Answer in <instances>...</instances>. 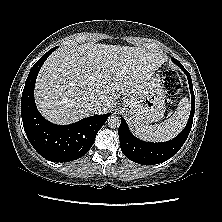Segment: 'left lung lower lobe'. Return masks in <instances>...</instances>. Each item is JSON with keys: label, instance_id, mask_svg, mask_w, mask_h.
I'll list each match as a JSON object with an SVG mask.
<instances>
[{"label": "left lung lower lobe", "instance_id": "obj_1", "mask_svg": "<svg viewBox=\"0 0 222 222\" xmlns=\"http://www.w3.org/2000/svg\"><path fill=\"white\" fill-rule=\"evenodd\" d=\"M171 60L186 74L190 87L191 112L187 125L177 137L170 141L162 143H149L134 137L131 134L125 119L122 117L120 127L118 128L120 147L125 156L133 162L143 165H154L170 159L185 143L191 130L195 111V96L191 76L177 59L171 58Z\"/></svg>", "mask_w": 222, "mask_h": 222}]
</instances>
